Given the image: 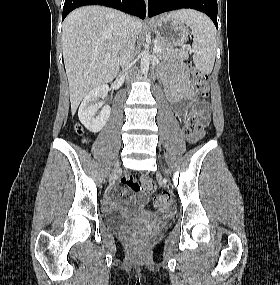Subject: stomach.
I'll return each mask as SVG.
<instances>
[{
  "label": "stomach",
  "instance_id": "0dacf381",
  "mask_svg": "<svg viewBox=\"0 0 280 285\" xmlns=\"http://www.w3.org/2000/svg\"><path fill=\"white\" fill-rule=\"evenodd\" d=\"M150 26L158 38L172 45H183L189 37V29L178 19L163 15L151 21Z\"/></svg>",
  "mask_w": 280,
  "mask_h": 285
}]
</instances>
